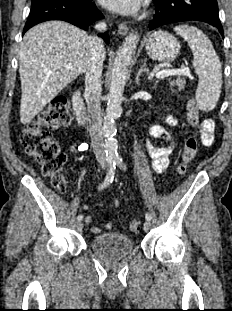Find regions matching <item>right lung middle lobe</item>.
<instances>
[{
	"mask_svg": "<svg viewBox=\"0 0 232 311\" xmlns=\"http://www.w3.org/2000/svg\"><path fill=\"white\" fill-rule=\"evenodd\" d=\"M78 1H83V2H85V1H91V0H78Z\"/></svg>",
	"mask_w": 232,
	"mask_h": 311,
	"instance_id": "1",
	"label": "right lung middle lobe"
}]
</instances>
